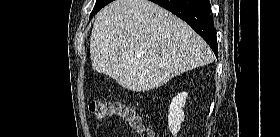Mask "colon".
<instances>
[{"label": "colon", "instance_id": "5ec220e1", "mask_svg": "<svg viewBox=\"0 0 280 137\" xmlns=\"http://www.w3.org/2000/svg\"><path fill=\"white\" fill-rule=\"evenodd\" d=\"M90 111L98 119L122 117L131 127L140 131L141 137H155L152 129L143 126L141 118L135 110L121 101L96 100L91 102Z\"/></svg>", "mask_w": 280, "mask_h": 137}]
</instances>
